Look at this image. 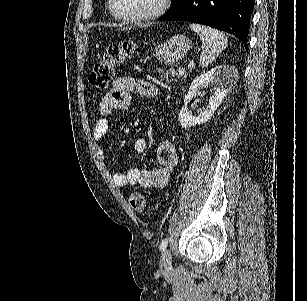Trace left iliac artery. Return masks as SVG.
Wrapping results in <instances>:
<instances>
[{"mask_svg":"<svg viewBox=\"0 0 307 301\" xmlns=\"http://www.w3.org/2000/svg\"><path fill=\"white\" fill-rule=\"evenodd\" d=\"M167 244H168V239H167V238H164V239L161 241L160 250H164V249L167 247Z\"/></svg>","mask_w":307,"mask_h":301,"instance_id":"44dca946","label":"left iliac artery"}]
</instances>
